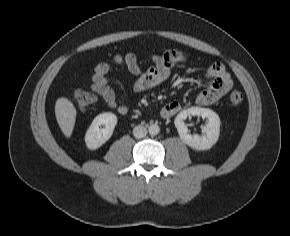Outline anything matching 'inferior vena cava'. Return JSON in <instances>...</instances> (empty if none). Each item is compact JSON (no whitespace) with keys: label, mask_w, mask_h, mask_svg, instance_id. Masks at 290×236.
Segmentation results:
<instances>
[{"label":"inferior vena cava","mask_w":290,"mask_h":236,"mask_svg":"<svg viewBox=\"0 0 290 236\" xmlns=\"http://www.w3.org/2000/svg\"><path fill=\"white\" fill-rule=\"evenodd\" d=\"M146 134H147V129L146 127L142 125H138L133 128V135L135 138H143L146 136Z\"/></svg>","instance_id":"inferior-vena-cava-1"}]
</instances>
